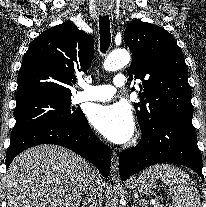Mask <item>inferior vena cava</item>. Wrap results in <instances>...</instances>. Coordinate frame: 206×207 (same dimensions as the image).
<instances>
[{"label": "inferior vena cava", "mask_w": 206, "mask_h": 207, "mask_svg": "<svg viewBox=\"0 0 206 207\" xmlns=\"http://www.w3.org/2000/svg\"><path fill=\"white\" fill-rule=\"evenodd\" d=\"M92 174H93L92 175V183L90 184V186L88 188L89 191H90L89 192L90 196L92 197V202L90 204V207H98L101 193H100V190L98 188V185L95 182V178L98 175V173L94 168H93Z\"/></svg>", "instance_id": "obj_1"}]
</instances>
